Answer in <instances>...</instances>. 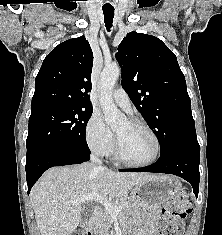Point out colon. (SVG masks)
<instances>
[{
	"instance_id": "obj_1",
	"label": "colon",
	"mask_w": 222,
	"mask_h": 235,
	"mask_svg": "<svg viewBox=\"0 0 222 235\" xmlns=\"http://www.w3.org/2000/svg\"><path fill=\"white\" fill-rule=\"evenodd\" d=\"M192 210V205L184 193H178L170 202L165 204L163 212L165 220L161 235H179L181 227L179 219L185 218ZM72 235H82L77 232Z\"/></svg>"
}]
</instances>
